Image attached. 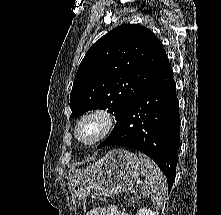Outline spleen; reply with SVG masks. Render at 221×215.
<instances>
[{"mask_svg": "<svg viewBox=\"0 0 221 215\" xmlns=\"http://www.w3.org/2000/svg\"><path fill=\"white\" fill-rule=\"evenodd\" d=\"M141 160L142 193L151 198L155 207L161 206L167 189V181L153 160L139 153Z\"/></svg>", "mask_w": 221, "mask_h": 215, "instance_id": "1", "label": "spleen"}]
</instances>
